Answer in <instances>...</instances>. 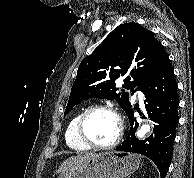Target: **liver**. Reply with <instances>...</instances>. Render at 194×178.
<instances>
[{"mask_svg":"<svg viewBox=\"0 0 194 178\" xmlns=\"http://www.w3.org/2000/svg\"><path fill=\"white\" fill-rule=\"evenodd\" d=\"M96 154L94 153H86L83 155H78V156H72L68 159H66L61 166L58 169V172L62 173L67 169H70L76 165H79L81 163H83L84 161L94 157Z\"/></svg>","mask_w":194,"mask_h":178,"instance_id":"1","label":"liver"}]
</instances>
